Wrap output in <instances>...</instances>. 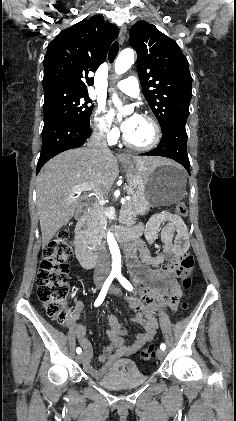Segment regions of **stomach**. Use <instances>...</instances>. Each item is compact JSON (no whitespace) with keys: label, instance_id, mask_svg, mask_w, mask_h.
I'll use <instances>...</instances> for the list:
<instances>
[{"label":"stomach","instance_id":"obj_1","mask_svg":"<svg viewBox=\"0 0 236 421\" xmlns=\"http://www.w3.org/2000/svg\"><path fill=\"white\" fill-rule=\"evenodd\" d=\"M122 162L129 174L127 192L136 215H146L150 206H168L184 198L186 174L180 166L164 162L139 166L128 156Z\"/></svg>","mask_w":236,"mask_h":421}]
</instances>
